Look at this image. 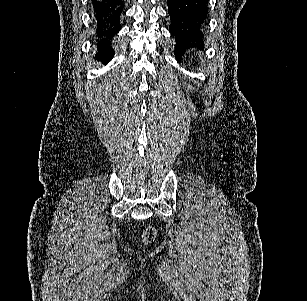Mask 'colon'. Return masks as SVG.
<instances>
[{
    "mask_svg": "<svg viewBox=\"0 0 307 301\" xmlns=\"http://www.w3.org/2000/svg\"><path fill=\"white\" fill-rule=\"evenodd\" d=\"M155 237V230L152 227H148L145 229L143 233V239L145 242H151Z\"/></svg>",
    "mask_w": 307,
    "mask_h": 301,
    "instance_id": "colon-1",
    "label": "colon"
}]
</instances>
